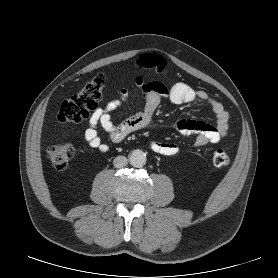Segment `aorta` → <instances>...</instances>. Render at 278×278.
Segmentation results:
<instances>
[{
  "mask_svg": "<svg viewBox=\"0 0 278 278\" xmlns=\"http://www.w3.org/2000/svg\"><path fill=\"white\" fill-rule=\"evenodd\" d=\"M129 162L133 167L140 168L146 163V154L142 150H134L129 154Z\"/></svg>",
  "mask_w": 278,
  "mask_h": 278,
  "instance_id": "762f6f07",
  "label": "aorta"
}]
</instances>
